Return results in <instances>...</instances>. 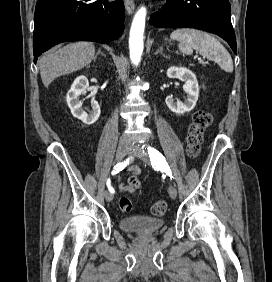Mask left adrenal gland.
<instances>
[{
	"label": "left adrenal gland",
	"mask_w": 272,
	"mask_h": 282,
	"mask_svg": "<svg viewBox=\"0 0 272 282\" xmlns=\"http://www.w3.org/2000/svg\"><path fill=\"white\" fill-rule=\"evenodd\" d=\"M158 54L162 55L165 58H169V56H167V55H165L163 53V48L162 47H158L157 51L155 52V55H158Z\"/></svg>",
	"instance_id": "left-adrenal-gland-1"
}]
</instances>
